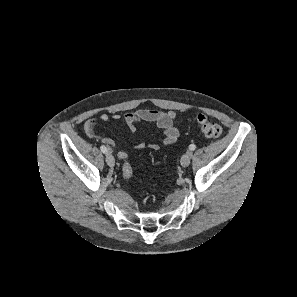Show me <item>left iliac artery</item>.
<instances>
[{
	"instance_id": "1",
	"label": "left iliac artery",
	"mask_w": 297,
	"mask_h": 297,
	"mask_svg": "<svg viewBox=\"0 0 297 297\" xmlns=\"http://www.w3.org/2000/svg\"><path fill=\"white\" fill-rule=\"evenodd\" d=\"M189 149H190L191 151H194V150L196 149V145H195V144H191V145L189 146Z\"/></svg>"
}]
</instances>
